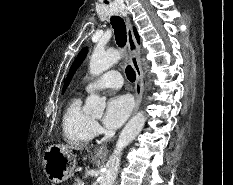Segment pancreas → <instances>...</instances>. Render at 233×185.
<instances>
[{
  "label": "pancreas",
  "mask_w": 233,
  "mask_h": 185,
  "mask_svg": "<svg viewBox=\"0 0 233 185\" xmlns=\"http://www.w3.org/2000/svg\"><path fill=\"white\" fill-rule=\"evenodd\" d=\"M81 183L82 181L80 180V178H76L75 183L73 185H82Z\"/></svg>",
  "instance_id": "pancreas-1"
}]
</instances>
